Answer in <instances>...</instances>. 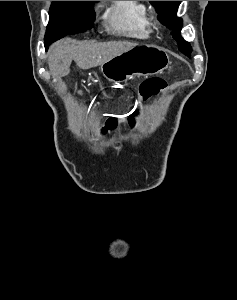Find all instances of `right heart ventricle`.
<instances>
[{
    "label": "right heart ventricle",
    "mask_w": 237,
    "mask_h": 300,
    "mask_svg": "<svg viewBox=\"0 0 237 300\" xmlns=\"http://www.w3.org/2000/svg\"><path fill=\"white\" fill-rule=\"evenodd\" d=\"M110 30L136 37L149 34L148 9L143 1H111L106 11Z\"/></svg>",
    "instance_id": "1"
}]
</instances>
